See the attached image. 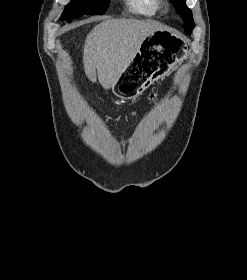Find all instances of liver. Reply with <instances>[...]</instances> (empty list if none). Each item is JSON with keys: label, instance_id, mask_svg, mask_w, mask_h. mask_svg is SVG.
<instances>
[{"label": "liver", "instance_id": "liver-1", "mask_svg": "<svg viewBox=\"0 0 247 280\" xmlns=\"http://www.w3.org/2000/svg\"><path fill=\"white\" fill-rule=\"evenodd\" d=\"M165 27L153 21L108 19L87 35L83 51L86 76L93 83L97 76L104 89L113 87L134 59L143 40Z\"/></svg>", "mask_w": 247, "mask_h": 280}]
</instances>
